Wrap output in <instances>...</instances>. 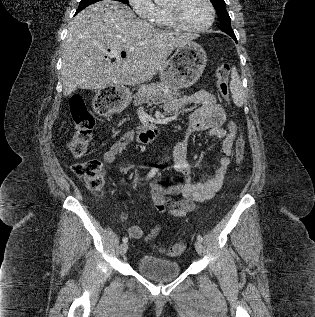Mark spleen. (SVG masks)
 <instances>
[{"label": "spleen", "mask_w": 315, "mask_h": 317, "mask_svg": "<svg viewBox=\"0 0 315 317\" xmlns=\"http://www.w3.org/2000/svg\"><path fill=\"white\" fill-rule=\"evenodd\" d=\"M230 90H231L235 105L238 107H241L244 102L245 93H244L242 83L240 81L239 74L235 67H233L231 71Z\"/></svg>", "instance_id": "spleen-1"}]
</instances>
